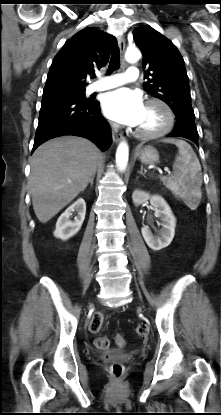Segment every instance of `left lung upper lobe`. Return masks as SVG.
<instances>
[{"label": "left lung upper lobe", "instance_id": "5c2ea615", "mask_svg": "<svg viewBox=\"0 0 221 415\" xmlns=\"http://www.w3.org/2000/svg\"><path fill=\"white\" fill-rule=\"evenodd\" d=\"M133 37L143 54L144 79L147 80L143 83L145 91L168 104L176 117L194 115L189 78L176 46L148 25L136 28Z\"/></svg>", "mask_w": 221, "mask_h": 415}]
</instances>
